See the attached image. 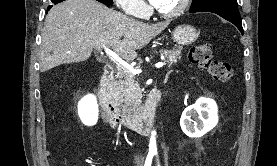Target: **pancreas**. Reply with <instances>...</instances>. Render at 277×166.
Returning <instances> with one entry per match:
<instances>
[{
    "label": "pancreas",
    "instance_id": "cf45deb5",
    "mask_svg": "<svg viewBox=\"0 0 277 166\" xmlns=\"http://www.w3.org/2000/svg\"><path fill=\"white\" fill-rule=\"evenodd\" d=\"M182 48L172 50H160V54L167 58V64L172 65L181 59ZM141 60H139V64ZM113 96L119 102L122 110L137 116L143 111V107L137 96L136 84L133 74L126 69L119 67L117 69L116 80L113 82Z\"/></svg>",
    "mask_w": 277,
    "mask_h": 166
}]
</instances>
